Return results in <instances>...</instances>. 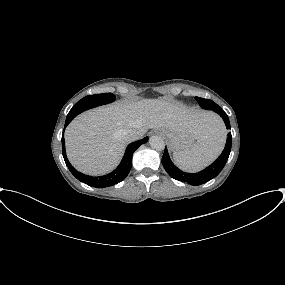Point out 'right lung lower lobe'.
Wrapping results in <instances>:
<instances>
[{"label": "right lung lower lobe", "mask_w": 285, "mask_h": 285, "mask_svg": "<svg viewBox=\"0 0 285 285\" xmlns=\"http://www.w3.org/2000/svg\"><path fill=\"white\" fill-rule=\"evenodd\" d=\"M71 120H72L71 118H69V119L66 118L65 127L71 122ZM147 140H148V137H145L142 140H139V141H136V142L129 144L119 166L113 172H111L107 175H104V176H99V177H92V176L84 175V174L78 172L75 168H73V166L70 164V162L68 161V159L66 157L65 142H64V136L63 135H62V153H63L64 161H65L67 167L69 168L70 172L79 181H81V182H83L89 186H92V187L104 188V187H109V186L115 185L127 177L128 173L132 167V155H133V153L141 144L146 143Z\"/></svg>", "instance_id": "98d812e1"}]
</instances>
